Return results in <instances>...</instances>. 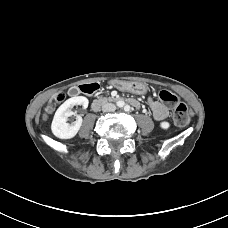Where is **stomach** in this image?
<instances>
[{"label":"stomach","instance_id":"0dacf381","mask_svg":"<svg viewBox=\"0 0 228 228\" xmlns=\"http://www.w3.org/2000/svg\"><path fill=\"white\" fill-rule=\"evenodd\" d=\"M124 87L134 94H146L148 87L145 83L139 81H131L124 84Z\"/></svg>","mask_w":228,"mask_h":228}]
</instances>
